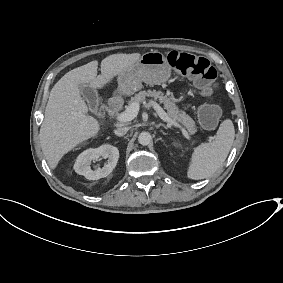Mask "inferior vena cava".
<instances>
[{"label":"inferior vena cava","mask_w":283,"mask_h":283,"mask_svg":"<svg viewBox=\"0 0 283 283\" xmlns=\"http://www.w3.org/2000/svg\"><path fill=\"white\" fill-rule=\"evenodd\" d=\"M129 128L128 127H122V128H117L114 133L117 136H124L128 132Z\"/></svg>","instance_id":"1"}]
</instances>
